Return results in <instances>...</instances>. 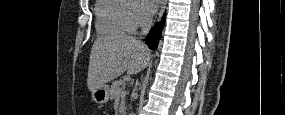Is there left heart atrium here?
<instances>
[{"label": "left heart atrium", "mask_w": 285, "mask_h": 115, "mask_svg": "<svg viewBox=\"0 0 285 115\" xmlns=\"http://www.w3.org/2000/svg\"><path fill=\"white\" fill-rule=\"evenodd\" d=\"M141 3H142L144 11L148 15H151L157 10L159 0H142Z\"/></svg>", "instance_id": "left-heart-atrium-1"}]
</instances>
